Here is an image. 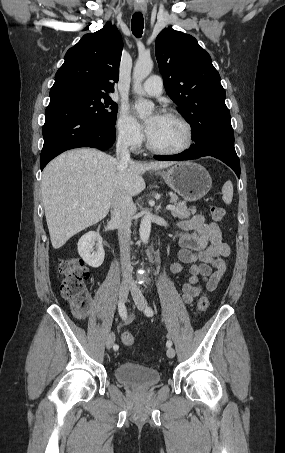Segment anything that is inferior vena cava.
<instances>
[{
    "label": "inferior vena cava",
    "mask_w": 285,
    "mask_h": 453,
    "mask_svg": "<svg viewBox=\"0 0 285 453\" xmlns=\"http://www.w3.org/2000/svg\"><path fill=\"white\" fill-rule=\"evenodd\" d=\"M116 156L122 165H127L130 161L128 142L123 138H118L116 144ZM135 212L132 197L126 193L114 195L111 204V220L118 229V239L121 253V268L123 281L132 283V266L130 262V236L131 221Z\"/></svg>",
    "instance_id": "602c4592"
}]
</instances>
